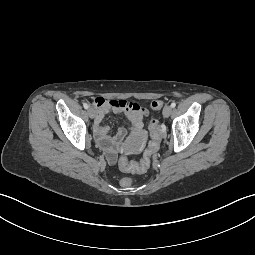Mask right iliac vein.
<instances>
[{"instance_id":"1","label":"right iliac vein","mask_w":255,"mask_h":255,"mask_svg":"<svg viewBox=\"0 0 255 255\" xmlns=\"http://www.w3.org/2000/svg\"><path fill=\"white\" fill-rule=\"evenodd\" d=\"M87 112H88L89 117H90L91 119H93L94 116H95V110H94V108L89 107Z\"/></svg>"}]
</instances>
